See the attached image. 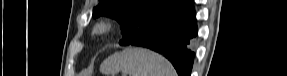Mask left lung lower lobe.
Segmentation results:
<instances>
[{"instance_id":"obj_1","label":"left lung lower lobe","mask_w":287,"mask_h":76,"mask_svg":"<svg viewBox=\"0 0 287 76\" xmlns=\"http://www.w3.org/2000/svg\"><path fill=\"white\" fill-rule=\"evenodd\" d=\"M197 36L196 15L191 0L154 23L129 45L143 46L163 54L179 76H190L194 52L190 44Z\"/></svg>"}]
</instances>
